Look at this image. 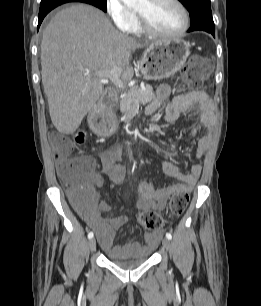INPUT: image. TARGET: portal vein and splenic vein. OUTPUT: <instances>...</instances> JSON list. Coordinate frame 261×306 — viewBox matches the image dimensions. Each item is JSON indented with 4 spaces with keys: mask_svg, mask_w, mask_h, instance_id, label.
Masks as SVG:
<instances>
[{
    "mask_svg": "<svg viewBox=\"0 0 261 306\" xmlns=\"http://www.w3.org/2000/svg\"><path fill=\"white\" fill-rule=\"evenodd\" d=\"M122 74L121 68H112L110 70L98 72L97 75L101 78L100 81L103 83L107 80L113 82V84L119 88H125L123 81L120 79Z\"/></svg>",
    "mask_w": 261,
    "mask_h": 306,
    "instance_id": "18ae733b",
    "label": "portal vein and splenic vein"
}]
</instances>
